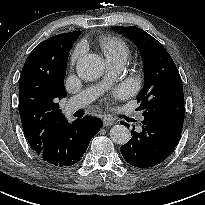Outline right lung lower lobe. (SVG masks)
<instances>
[{
	"label": "right lung lower lobe",
	"mask_w": 205,
	"mask_h": 205,
	"mask_svg": "<svg viewBox=\"0 0 205 205\" xmlns=\"http://www.w3.org/2000/svg\"><path fill=\"white\" fill-rule=\"evenodd\" d=\"M100 128L101 121L90 116L71 124L66 120L37 154L51 166H72L81 160L90 140Z\"/></svg>",
	"instance_id": "right-lung-lower-lobe-1"
}]
</instances>
